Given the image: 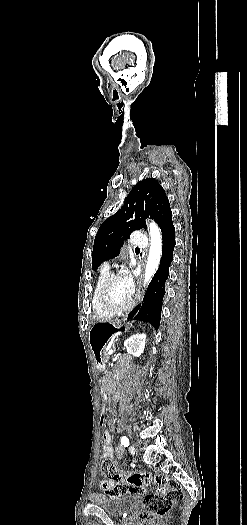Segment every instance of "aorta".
Here are the masks:
<instances>
[{
  "label": "aorta",
  "instance_id": "aorta-1",
  "mask_svg": "<svg viewBox=\"0 0 247 525\" xmlns=\"http://www.w3.org/2000/svg\"><path fill=\"white\" fill-rule=\"evenodd\" d=\"M150 250L147 258L144 285L147 284L156 273L162 256V235L159 227L154 223H149Z\"/></svg>",
  "mask_w": 247,
  "mask_h": 525
}]
</instances>
